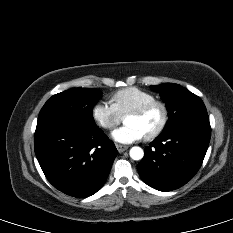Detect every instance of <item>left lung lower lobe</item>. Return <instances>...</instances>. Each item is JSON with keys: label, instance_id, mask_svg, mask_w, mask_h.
Segmentation results:
<instances>
[{"label": "left lung lower lobe", "instance_id": "left-lung-lower-lobe-1", "mask_svg": "<svg viewBox=\"0 0 233 233\" xmlns=\"http://www.w3.org/2000/svg\"><path fill=\"white\" fill-rule=\"evenodd\" d=\"M211 137L209 120H194L163 131L137 166L142 180L159 191L177 189L197 173Z\"/></svg>", "mask_w": 233, "mask_h": 233}]
</instances>
